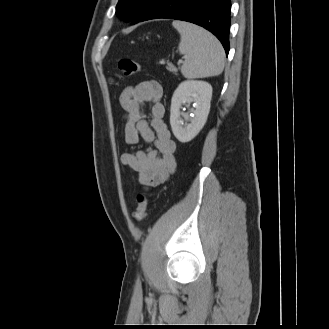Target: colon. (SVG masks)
<instances>
[{"label":"colon","mask_w":329,"mask_h":329,"mask_svg":"<svg viewBox=\"0 0 329 329\" xmlns=\"http://www.w3.org/2000/svg\"><path fill=\"white\" fill-rule=\"evenodd\" d=\"M140 71L141 66L139 63L132 59L123 58L119 60L118 70L111 76L110 80L112 83H117L118 80L122 77L135 75ZM148 203L149 201L146 195L142 193H139L137 195V206L132 214L133 218L137 222H142L145 219L147 214Z\"/></svg>","instance_id":"1"}]
</instances>
